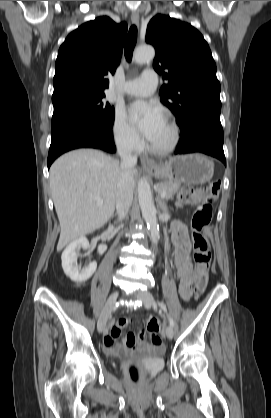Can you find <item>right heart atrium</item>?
Returning <instances> with one entry per match:
<instances>
[{"label": "right heart atrium", "instance_id": "1", "mask_svg": "<svg viewBox=\"0 0 271 418\" xmlns=\"http://www.w3.org/2000/svg\"><path fill=\"white\" fill-rule=\"evenodd\" d=\"M112 135L116 146L124 152L133 153L141 146L139 133L128 123L124 114L117 110L112 122Z\"/></svg>", "mask_w": 271, "mask_h": 418}]
</instances>
